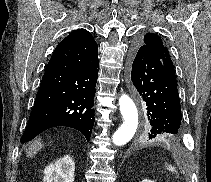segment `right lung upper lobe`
I'll return each mask as SVG.
<instances>
[{"mask_svg":"<svg viewBox=\"0 0 211 182\" xmlns=\"http://www.w3.org/2000/svg\"><path fill=\"white\" fill-rule=\"evenodd\" d=\"M89 32L87 30H84V29H78L74 32H72L71 34H69L65 39H77L83 35H86L88 34Z\"/></svg>","mask_w":211,"mask_h":182,"instance_id":"1","label":"right lung upper lobe"}]
</instances>
